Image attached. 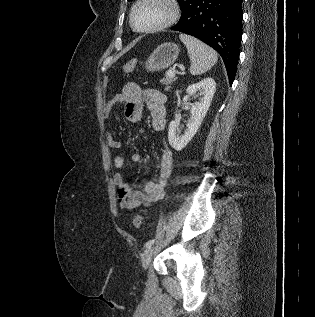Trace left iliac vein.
Wrapping results in <instances>:
<instances>
[{
  "instance_id": "left-iliac-vein-1",
  "label": "left iliac vein",
  "mask_w": 315,
  "mask_h": 317,
  "mask_svg": "<svg viewBox=\"0 0 315 317\" xmlns=\"http://www.w3.org/2000/svg\"><path fill=\"white\" fill-rule=\"evenodd\" d=\"M155 247H149L146 249L145 253L143 254L141 263L144 270H146L151 262V259L154 255Z\"/></svg>"
}]
</instances>
